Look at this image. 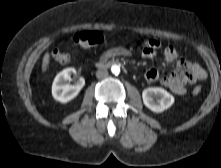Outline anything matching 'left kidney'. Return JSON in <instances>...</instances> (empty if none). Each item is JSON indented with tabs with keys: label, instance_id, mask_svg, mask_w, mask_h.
Here are the masks:
<instances>
[{
	"label": "left kidney",
	"instance_id": "obj_1",
	"mask_svg": "<svg viewBox=\"0 0 221 168\" xmlns=\"http://www.w3.org/2000/svg\"><path fill=\"white\" fill-rule=\"evenodd\" d=\"M154 97L157 100H154ZM144 105L155 113L163 112L174 103V97L161 87H149L143 90Z\"/></svg>",
	"mask_w": 221,
	"mask_h": 168
}]
</instances>
